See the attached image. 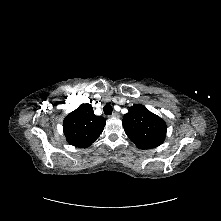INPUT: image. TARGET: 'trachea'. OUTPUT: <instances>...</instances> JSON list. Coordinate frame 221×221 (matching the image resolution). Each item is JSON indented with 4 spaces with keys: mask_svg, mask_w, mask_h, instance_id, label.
Returning a JSON list of instances; mask_svg holds the SVG:
<instances>
[{
    "mask_svg": "<svg viewBox=\"0 0 221 221\" xmlns=\"http://www.w3.org/2000/svg\"><path fill=\"white\" fill-rule=\"evenodd\" d=\"M112 112H113V108L110 104H107L104 106V114L105 115L109 116L112 114Z\"/></svg>",
    "mask_w": 221,
    "mask_h": 221,
    "instance_id": "3493384b",
    "label": "trachea"
}]
</instances>
